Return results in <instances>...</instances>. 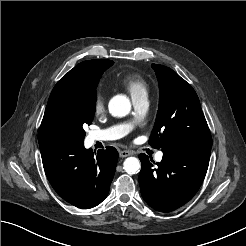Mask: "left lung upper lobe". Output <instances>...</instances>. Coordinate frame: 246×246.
<instances>
[{"instance_id": "obj_1", "label": "left lung upper lobe", "mask_w": 246, "mask_h": 246, "mask_svg": "<svg viewBox=\"0 0 246 246\" xmlns=\"http://www.w3.org/2000/svg\"><path fill=\"white\" fill-rule=\"evenodd\" d=\"M159 82L160 98L149 144L212 147V138L194 89L172 69L152 64Z\"/></svg>"}]
</instances>
